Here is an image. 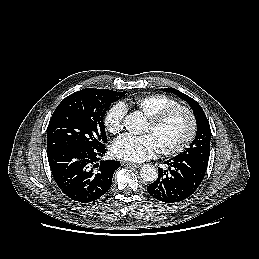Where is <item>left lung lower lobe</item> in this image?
<instances>
[{
    "label": "left lung lower lobe",
    "instance_id": "1",
    "mask_svg": "<svg viewBox=\"0 0 259 259\" xmlns=\"http://www.w3.org/2000/svg\"><path fill=\"white\" fill-rule=\"evenodd\" d=\"M165 164L169 170L158 168L157 180L147 187L151 196L165 203L180 202L192 195L207 169L193 160L178 156L165 161Z\"/></svg>",
    "mask_w": 259,
    "mask_h": 259
}]
</instances>
